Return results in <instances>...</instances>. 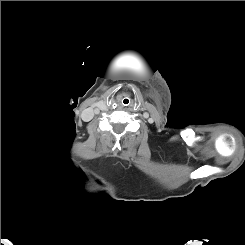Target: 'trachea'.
<instances>
[{
  "mask_svg": "<svg viewBox=\"0 0 245 245\" xmlns=\"http://www.w3.org/2000/svg\"><path fill=\"white\" fill-rule=\"evenodd\" d=\"M123 106H128L131 103V99L129 97H124L121 101Z\"/></svg>",
  "mask_w": 245,
  "mask_h": 245,
  "instance_id": "trachea-1",
  "label": "trachea"
}]
</instances>
